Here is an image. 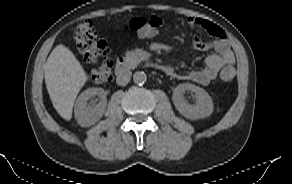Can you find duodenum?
I'll list each match as a JSON object with an SVG mask.
<instances>
[{
  "label": "duodenum",
  "instance_id": "1",
  "mask_svg": "<svg viewBox=\"0 0 292 184\" xmlns=\"http://www.w3.org/2000/svg\"><path fill=\"white\" fill-rule=\"evenodd\" d=\"M128 67H129V63L126 59L124 58H119L117 60V63H116V67H115V70H116V73H117V76L120 78V79H123L127 73V70H128ZM160 68L163 70V71H168V67L166 66H160Z\"/></svg>",
  "mask_w": 292,
  "mask_h": 184
}]
</instances>
